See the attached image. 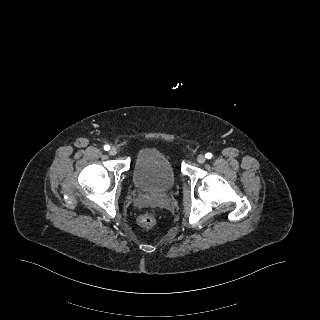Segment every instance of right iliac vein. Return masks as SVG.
Returning a JSON list of instances; mask_svg holds the SVG:
<instances>
[{"mask_svg":"<svg viewBox=\"0 0 320 320\" xmlns=\"http://www.w3.org/2000/svg\"><path fill=\"white\" fill-rule=\"evenodd\" d=\"M110 155H116L117 154V149L115 147H112L109 151Z\"/></svg>","mask_w":320,"mask_h":320,"instance_id":"obj_1","label":"right iliac vein"}]
</instances>
